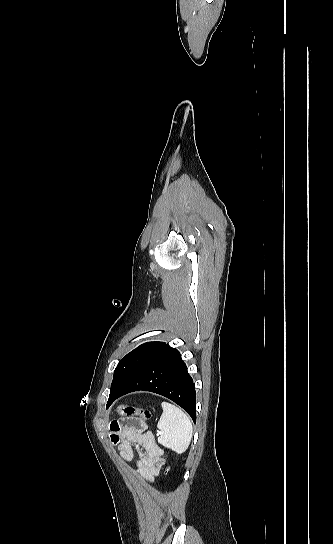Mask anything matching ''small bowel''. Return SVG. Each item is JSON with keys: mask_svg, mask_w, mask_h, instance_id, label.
I'll return each mask as SVG.
<instances>
[{"mask_svg": "<svg viewBox=\"0 0 333 544\" xmlns=\"http://www.w3.org/2000/svg\"><path fill=\"white\" fill-rule=\"evenodd\" d=\"M109 433L121 458L128 462L134 461L138 473L145 480L151 481L164 460L146 425L130 418L113 421L109 425Z\"/></svg>", "mask_w": 333, "mask_h": 544, "instance_id": "c3829d8e", "label": "small bowel"}]
</instances>
